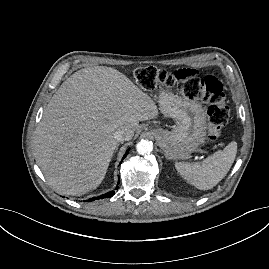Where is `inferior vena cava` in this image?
I'll return each mask as SVG.
<instances>
[{"instance_id": "inferior-vena-cava-1", "label": "inferior vena cava", "mask_w": 269, "mask_h": 269, "mask_svg": "<svg viewBox=\"0 0 269 269\" xmlns=\"http://www.w3.org/2000/svg\"><path fill=\"white\" fill-rule=\"evenodd\" d=\"M127 133L125 129H118L114 133V137L117 141H123L126 139Z\"/></svg>"}]
</instances>
